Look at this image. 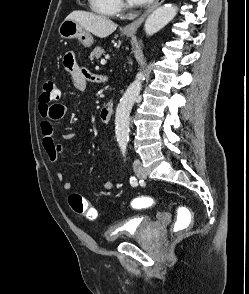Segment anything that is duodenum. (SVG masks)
I'll return each instance as SVG.
<instances>
[{
  "label": "duodenum",
  "mask_w": 249,
  "mask_h": 294,
  "mask_svg": "<svg viewBox=\"0 0 249 294\" xmlns=\"http://www.w3.org/2000/svg\"><path fill=\"white\" fill-rule=\"evenodd\" d=\"M112 114H113V104L111 101H109L102 107L100 111V115H99L100 121L103 124H108L111 120Z\"/></svg>",
  "instance_id": "obj_1"
}]
</instances>
